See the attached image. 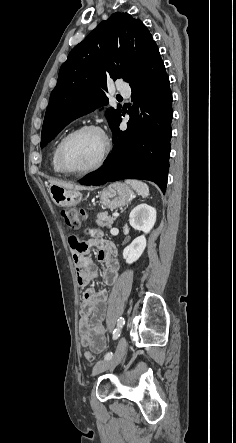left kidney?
<instances>
[{"label": "left kidney", "instance_id": "1", "mask_svg": "<svg viewBox=\"0 0 236 443\" xmlns=\"http://www.w3.org/2000/svg\"><path fill=\"white\" fill-rule=\"evenodd\" d=\"M156 222V210L148 204H139L129 215L130 225L139 231L147 234L151 231ZM146 248L145 235L135 238L132 243L123 250V258L126 263L132 264L137 261Z\"/></svg>", "mask_w": 236, "mask_h": 443}]
</instances>
